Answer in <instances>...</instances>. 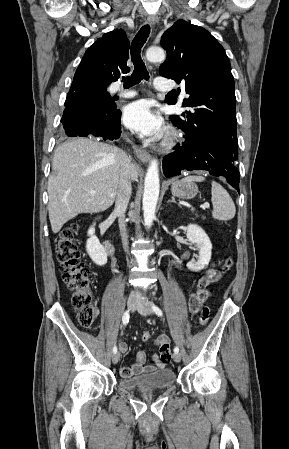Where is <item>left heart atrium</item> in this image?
<instances>
[{
	"mask_svg": "<svg viewBox=\"0 0 289 449\" xmlns=\"http://www.w3.org/2000/svg\"><path fill=\"white\" fill-rule=\"evenodd\" d=\"M123 122L132 131L150 139H158L164 132L163 120L148 100H138L127 105Z\"/></svg>",
	"mask_w": 289,
	"mask_h": 449,
	"instance_id": "1",
	"label": "left heart atrium"
}]
</instances>
